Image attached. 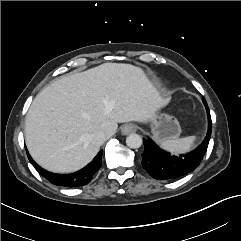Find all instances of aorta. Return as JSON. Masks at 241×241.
<instances>
[{"label":"aorta","mask_w":241,"mask_h":241,"mask_svg":"<svg viewBox=\"0 0 241 241\" xmlns=\"http://www.w3.org/2000/svg\"><path fill=\"white\" fill-rule=\"evenodd\" d=\"M143 141L140 135L136 133H132L127 136L126 138V144L129 148L136 149L141 147Z\"/></svg>","instance_id":"aorta-1"}]
</instances>
